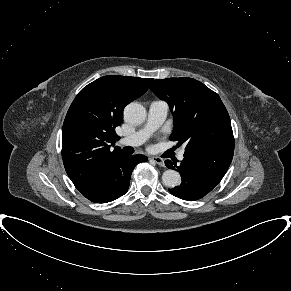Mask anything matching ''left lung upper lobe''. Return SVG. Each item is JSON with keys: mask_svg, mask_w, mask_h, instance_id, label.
<instances>
[{"mask_svg": "<svg viewBox=\"0 0 291 291\" xmlns=\"http://www.w3.org/2000/svg\"><path fill=\"white\" fill-rule=\"evenodd\" d=\"M150 88L173 114L170 140L185 143V151L234 150L230 117L217 93L189 77L155 80Z\"/></svg>", "mask_w": 291, "mask_h": 291, "instance_id": "obj_1", "label": "left lung upper lobe"}]
</instances>
